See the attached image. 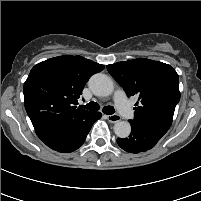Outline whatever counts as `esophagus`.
<instances>
[{"label":"esophagus","instance_id":"obj_1","mask_svg":"<svg viewBox=\"0 0 201 201\" xmlns=\"http://www.w3.org/2000/svg\"><path fill=\"white\" fill-rule=\"evenodd\" d=\"M105 117L111 123H117L121 120V117L118 114L106 115Z\"/></svg>","mask_w":201,"mask_h":201}]
</instances>
